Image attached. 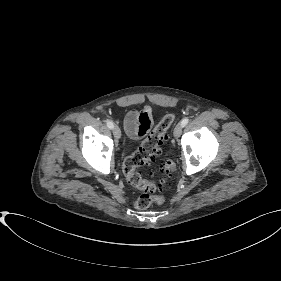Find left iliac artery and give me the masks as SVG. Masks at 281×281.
I'll use <instances>...</instances> for the list:
<instances>
[{
    "label": "left iliac artery",
    "mask_w": 281,
    "mask_h": 281,
    "mask_svg": "<svg viewBox=\"0 0 281 281\" xmlns=\"http://www.w3.org/2000/svg\"><path fill=\"white\" fill-rule=\"evenodd\" d=\"M188 122H189V119H188V118H184V119L181 121V124H182V126L184 127V126H186V125L188 124Z\"/></svg>",
    "instance_id": "left-iliac-artery-1"
}]
</instances>
